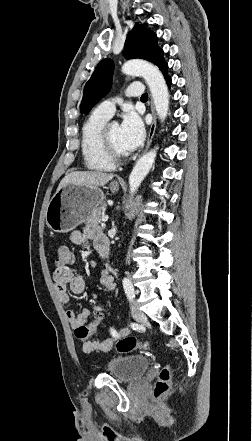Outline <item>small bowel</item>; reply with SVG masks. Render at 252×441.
I'll list each match as a JSON object with an SVG mask.
<instances>
[{"label":"small bowel","instance_id":"1","mask_svg":"<svg viewBox=\"0 0 252 441\" xmlns=\"http://www.w3.org/2000/svg\"><path fill=\"white\" fill-rule=\"evenodd\" d=\"M70 240L76 245L90 242L96 250H98L100 244L104 242L108 244L106 237L97 227H89L84 231H73L70 234ZM99 280L107 290H114V278L108 270H101L99 272ZM53 281L58 298L62 304H68L70 301L68 287L75 294H80L85 290V279L83 276L76 274L70 266L57 267L53 274ZM109 307V302H105L103 304H94L89 308L83 309L81 312L68 310L66 312V316L71 327L76 331L85 325L87 318L92 311H106L109 309ZM128 334L129 329L127 328L122 329L119 333V335L122 337L127 336ZM115 340L116 338H108L103 341H91L88 339L82 343V348L87 353H108L111 351Z\"/></svg>","mask_w":252,"mask_h":441}]
</instances>
